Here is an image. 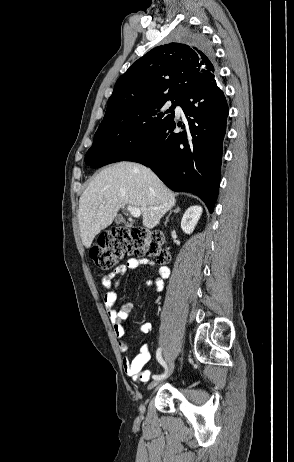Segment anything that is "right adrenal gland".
<instances>
[{"label": "right adrenal gland", "instance_id": "right-adrenal-gland-1", "mask_svg": "<svg viewBox=\"0 0 294 462\" xmlns=\"http://www.w3.org/2000/svg\"><path fill=\"white\" fill-rule=\"evenodd\" d=\"M178 212H180V208H179V207H175V209H174L173 211H170L169 214L166 216L165 225H166V223L168 222V219H169V217L171 216V214H173V213H178Z\"/></svg>", "mask_w": 294, "mask_h": 462}]
</instances>
